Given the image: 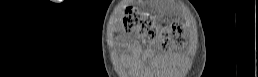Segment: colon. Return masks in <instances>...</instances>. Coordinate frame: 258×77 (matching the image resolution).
Here are the masks:
<instances>
[{
	"label": "colon",
	"mask_w": 258,
	"mask_h": 77,
	"mask_svg": "<svg viewBox=\"0 0 258 77\" xmlns=\"http://www.w3.org/2000/svg\"><path fill=\"white\" fill-rule=\"evenodd\" d=\"M124 30L135 32L144 43L168 50L181 41L183 27L172 23L159 27L151 15L141 14L135 9L125 10L121 25Z\"/></svg>",
	"instance_id": "colon-1"
}]
</instances>
